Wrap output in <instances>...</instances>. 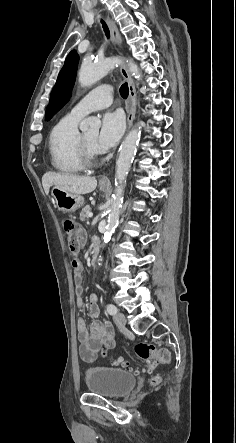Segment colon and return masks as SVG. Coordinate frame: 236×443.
<instances>
[{
    "label": "colon",
    "instance_id": "5ec220e1",
    "mask_svg": "<svg viewBox=\"0 0 236 443\" xmlns=\"http://www.w3.org/2000/svg\"><path fill=\"white\" fill-rule=\"evenodd\" d=\"M63 229L67 236V242L70 250L74 253L77 251L82 238V228L79 223L73 219H65L63 221ZM72 267L74 269V277L79 278L81 275V266L76 256L72 258ZM135 352L138 357L145 363L144 370L150 371L154 363L160 362L169 364L171 362V354L167 349L157 348L155 345L147 342H140L135 346ZM82 357V356H81ZM87 359H91V355L85 354ZM115 364L122 367H129V362L123 359H117ZM158 378L153 379V383H157Z\"/></svg>",
    "mask_w": 236,
    "mask_h": 443
}]
</instances>
